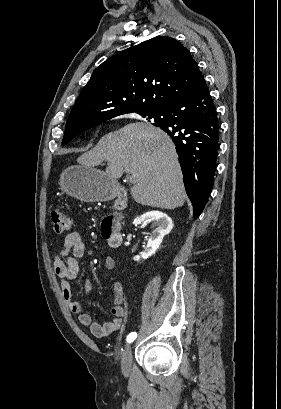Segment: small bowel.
Instances as JSON below:
<instances>
[{
  "label": "small bowel",
  "mask_w": 281,
  "mask_h": 409,
  "mask_svg": "<svg viewBox=\"0 0 281 409\" xmlns=\"http://www.w3.org/2000/svg\"><path fill=\"white\" fill-rule=\"evenodd\" d=\"M85 249V244L77 232L67 234L60 244L54 257V270L60 278L62 296L70 310L77 314L79 323L89 328L91 334L97 338L106 337L117 332L123 325L125 316L124 289L120 282L113 284V307L114 319L104 325L94 322L88 313L83 311L82 305L74 299L72 284L79 272L78 257ZM104 266L107 270L115 268V260L108 256L105 258ZM85 291L93 295V286L89 280H84Z\"/></svg>",
  "instance_id": "c3829d8e"
}]
</instances>
